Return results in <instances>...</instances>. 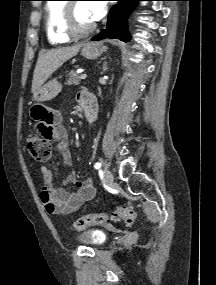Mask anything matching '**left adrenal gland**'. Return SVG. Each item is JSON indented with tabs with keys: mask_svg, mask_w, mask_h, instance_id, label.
Instances as JSON below:
<instances>
[{
	"mask_svg": "<svg viewBox=\"0 0 216 285\" xmlns=\"http://www.w3.org/2000/svg\"><path fill=\"white\" fill-rule=\"evenodd\" d=\"M107 70V66H106V62L103 65V72H105Z\"/></svg>",
	"mask_w": 216,
	"mask_h": 285,
	"instance_id": "left-adrenal-gland-1",
	"label": "left adrenal gland"
}]
</instances>
